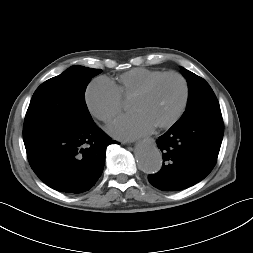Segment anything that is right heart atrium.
Instances as JSON below:
<instances>
[{
    "label": "right heart atrium",
    "mask_w": 253,
    "mask_h": 253,
    "mask_svg": "<svg viewBox=\"0 0 253 253\" xmlns=\"http://www.w3.org/2000/svg\"><path fill=\"white\" fill-rule=\"evenodd\" d=\"M85 104L96 119L109 123L122 111V99L114 85L104 77L94 79L85 91Z\"/></svg>",
    "instance_id": "right-heart-atrium-1"
}]
</instances>
